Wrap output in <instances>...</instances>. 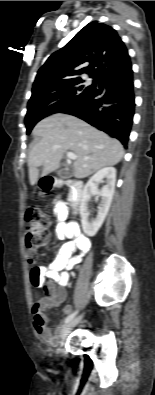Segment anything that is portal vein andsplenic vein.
Returning <instances> with one entry per match:
<instances>
[{
    "label": "portal vein and splenic vein",
    "mask_w": 155,
    "mask_h": 395,
    "mask_svg": "<svg viewBox=\"0 0 155 395\" xmlns=\"http://www.w3.org/2000/svg\"><path fill=\"white\" fill-rule=\"evenodd\" d=\"M67 157L69 159H71V160H75L77 158L76 155L74 153H72V152H68L67 153Z\"/></svg>",
    "instance_id": "portal-vein-and-splenic-vein-1"
}]
</instances>
